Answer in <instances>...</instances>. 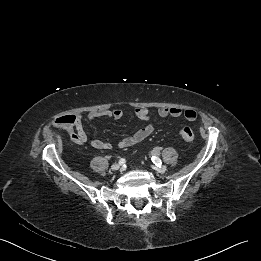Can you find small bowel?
I'll use <instances>...</instances> for the list:
<instances>
[{
	"label": "small bowel",
	"instance_id": "small-bowel-1",
	"mask_svg": "<svg viewBox=\"0 0 261 261\" xmlns=\"http://www.w3.org/2000/svg\"><path fill=\"white\" fill-rule=\"evenodd\" d=\"M123 111L121 109L93 111L86 115V120L93 122L98 119L106 118L112 120H120L123 117ZM135 116L142 121L148 122L144 127L137 130L131 136L125 137L118 142L119 148H128L137 143L142 142L148 138L154 131V126L150 123V112L147 108H137L134 111ZM158 114L161 117H173L177 118L184 116L188 121H194L197 118V112L193 109H181L178 107H162L158 110ZM75 122L72 126L66 127L65 130L68 133L70 139L76 144H84L87 142V134L83 128V117L80 115H74ZM91 146L98 150H109L111 144L101 139H93Z\"/></svg>",
	"mask_w": 261,
	"mask_h": 261
}]
</instances>
